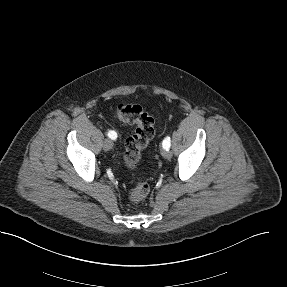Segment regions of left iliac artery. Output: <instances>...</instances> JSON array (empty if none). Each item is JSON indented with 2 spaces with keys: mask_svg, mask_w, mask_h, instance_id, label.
Listing matches in <instances>:
<instances>
[{
  "mask_svg": "<svg viewBox=\"0 0 287 287\" xmlns=\"http://www.w3.org/2000/svg\"><path fill=\"white\" fill-rule=\"evenodd\" d=\"M162 146L165 150H169L170 146H171V142H170V137H166L163 142H162Z\"/></svg>",
  "mask_w": 287,
  "mask_h": 287,
  "instance_id": "1",
  "label": "left iliac artery"
}]
</instances>
